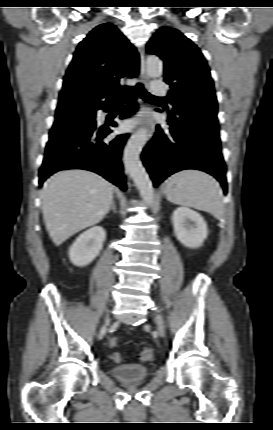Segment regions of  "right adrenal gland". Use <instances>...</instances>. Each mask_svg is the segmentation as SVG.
<instances>
[{
	"mask_svg": "<svg viewBox=\"0 0 273 430\" xmlns=\"http://www.w3.org/2000/svg\"><path fill=\"white\" fill-rule=\"evenodd\" d=\"M110 210H113V212H114V213H116V205H115L114 200H113V202H112V204H111V206H110L109 210L107 211V213H108Z\"/></svg>",
	"mask_w": 273,
	"mask_h": 430,
	"instance_id": "2a0ac1e0",
	"label": "right adrenal gland"
}]
</instances>
